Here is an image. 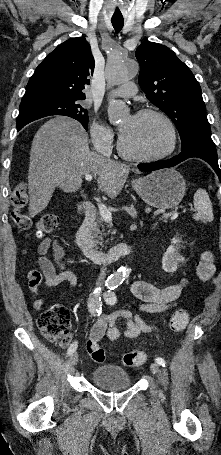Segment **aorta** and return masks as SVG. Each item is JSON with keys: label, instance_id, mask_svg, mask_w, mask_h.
Instances as JSON below:
<instances>
[{"label": "aorta", "instance_id": "obj_1", "mask_svg": "<svg viewBox=\"0 0 221 455\" xmlns=\"http://www.w3.org/2000/svg\"><path fill=\"white\" fill-rule=\"evenodd\" d=\"M138 64L133 60H110L106 66V79L109 86L129 81L138 73ZM128 108L124 102L109 99L108 116L112 124H117L128 115ZM127 274V268L121 266L111 275L110 283H119Z\"/></svg>", "mask_w": 221, "mask_h": 455}]
</instances>
